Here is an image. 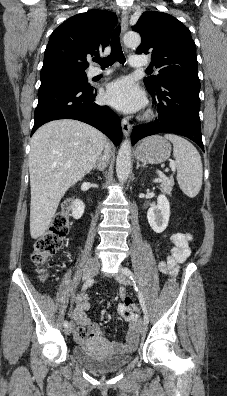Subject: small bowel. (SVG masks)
I'll list each match as a JSON object with an SVG mask.
<instances>
[{
	"label": "small bowel",
	"mask_w": 227,
	"mask_h": 396,
	"mask_svg": "<svg viewBox=\"0 0 227 396\" xmlns=\"http://www.w3.org/2000/svg\"><path fill=\"white\" fill-rule=\"evenodd\" d=\"M191 239V235L185 232H177L170 236V240L174 246L166 258L160 263L161 271L167 272L172 276L178 273L179 264L183 263L190 255ZM120 296L123 301L127 297L123 292H120ZM74 300L76 305L71 312V316L78 325L74 333V338L77 342H93L98 344L110 343L114 347H133L137 344L139 338L137 328L138 316L135 313V305L130 307L123 302L118 307L119 315L130 324L126 341L124 344H121L109 340L104 335L101 327L87 317L86 312L90 309V302L86 294H77Z\"/></svg>",
	"instance_id": "obj_1"
}]
</instances>
